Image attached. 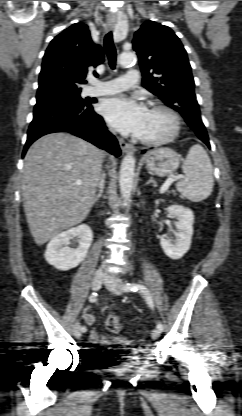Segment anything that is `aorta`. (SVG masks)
I'll list each match as a JSON object with an SVG mask.
<instances>
[{
    "instance_id": "762f6f07",
    "label": "aorta",
    "mask_w": 242,
    "mask_h": 416,
    "mask_svg": "<svg viewBox=\"0 0 242 416\" xmlns=\"http://www.w3.org/2000/svg\"><path fill=\"white\" fill-rule=\"evenodd\" d=\"M135 61L136 56L132 52H123L118 58V62L121 66H129ZM134 172L135 158L132 154H127L122 160L119 176L120 193L125 201H129L131 197L134 182Z\"/></svg>"
}]
</instances>
